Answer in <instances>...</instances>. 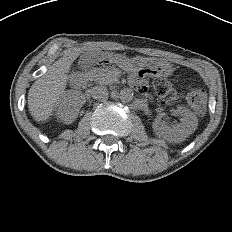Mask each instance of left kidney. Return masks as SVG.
Here are the masks:
<instances>
[{
  "label": "left kidney",
  "instance_id": "5707ae66",
  "mask_svg": "<svg viewBox=\"0 0 232 232\" xmlns=\"http://www.w3.org/2000/svg\"><path fill=\"white\" fill-rule=\"evenodd\" d=\"M176 111L181 115V123L172 127L165 121L164 115H159L153 122L156 135L169 141H179L195 131L198 125L196 115L188 108L178 105Z\"/></svg>",
  "mask_w": 232,
  "mask_h": 232
}]
</instances>
